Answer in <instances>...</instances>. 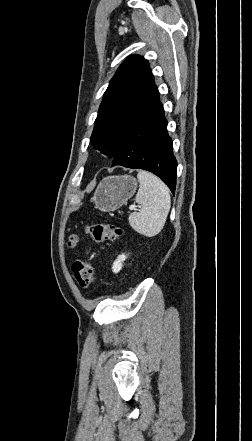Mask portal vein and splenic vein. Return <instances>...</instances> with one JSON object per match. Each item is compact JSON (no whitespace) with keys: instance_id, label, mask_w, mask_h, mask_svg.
<instances>
[{"instance_id":"obj_1","label":"portal vein and splenic vein","mask_w":252,"mask_h":441,"mask_svg":"<svg viewBox=\"0 0 252 441\" xmlns=\"http://www.w3.org/2000/svg\"><path fill=\"white\" fill-rule=\"evenodd\" d=\"M129 209H130L131 211H132V210H135V206H130Z\"/></svg>"}]
</instances>
